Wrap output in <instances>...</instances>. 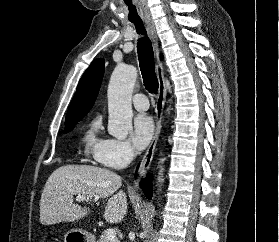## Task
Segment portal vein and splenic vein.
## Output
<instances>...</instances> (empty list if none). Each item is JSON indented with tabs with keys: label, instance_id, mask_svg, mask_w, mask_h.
Here are the masks:
<instances>
[{
	"label": "portal vein and splenic vein",
	"instance_id": "obj_1",
	"mask_svg": "<svg viewBox=\"0 0 279 242\" xmlns=\"http://www.w3.org/2000/svg\"><path fill=\"white\" fill-rule=\"evenodd\" d=\"M92 198L89 197H84V196H76V200L77 201H89ZM98 197H95V202L98 201ZM106 237L108 238V240L113 241L116 238V231L113 228H108L105 232Z\"/></svg>",
	"mask_w": 279,
	"mask_h": 242
}]
</instances>
